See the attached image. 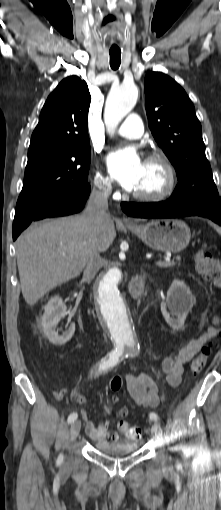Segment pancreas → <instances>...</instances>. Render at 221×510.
Masks as SVG:
<instances>
[{
	"mask_svg": "<svg viewBox=\"0 0 221 510\" xmlns=\"http://www.w3.org/2000/svg\"><path fill=\"white\" fill-rule=\"evenodd\" d=\"M179 264H180V263H179ZM173 265H174V263H172L171 265H169V266H166V267H171V266H173Z\"/></svg>",
	"mask_w": 221,
	"mask_h": 510,
	"instance_id": "pancreas-1",
	"label": "pancreas"
}]
</instances>
